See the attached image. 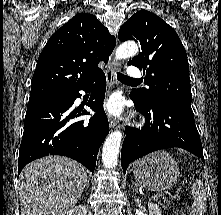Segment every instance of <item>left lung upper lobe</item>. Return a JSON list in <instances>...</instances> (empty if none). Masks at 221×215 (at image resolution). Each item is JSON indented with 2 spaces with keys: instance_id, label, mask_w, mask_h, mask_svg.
<instances>
[{
  "instance_id": "5c2ea615",
  "label": "left lung upper lobe",
  "mask_w": 221,
  "mask_h": 215,
  "mask_svg": "<svg viewBox=\"0 0 221 215\" xmlns=\"http://www.w3.org/2000/svg\"><path fill=\"white\" fill-rule=\"evenodd\" d=\"M120 41L135 40L141 52L128 62L143 69L148 88L131 94L141 103L172 102L191 106L189 64L184 46L175 30L152 12L141 10L124 23Z\"/></svg>"
}]
</instances>
